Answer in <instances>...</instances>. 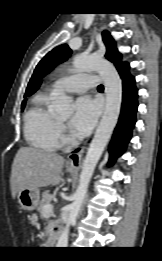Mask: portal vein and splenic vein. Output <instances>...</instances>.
I'll list each match as a JSON object with an SVG mask.
<instances>
[{"mask_svg":"<svg viewBox=\"0 0 162 261\" xmlns=\"http://www.w3.org/2000/svg\"><path fill=\"white\" fill-rule=\"evenodd\" d=\"M52 210H53V205L52 204H46L45 206H44V213L45 214H50L51 212H52Z\"/></svg>","mask_w":162,"mask_h":261,"instance_id":"portal-vein-and-splenic-vein-1","label":"portal vein and splenic vein"}]
</instances>
